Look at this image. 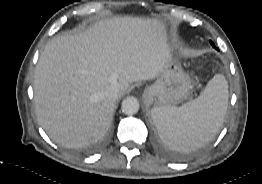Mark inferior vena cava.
Instances as JSON below:
<instances>
[{
	"label": "inferior vena cava",
	"mask_w": 262,
	"mask_h": 184,
	"mask_svg": "<svg viewBox=\"0 0 262 184\" xmlns=\"http://www.w3.org/2000/svg\"><path fill=\"white\" fill-rule=\"evenodd\" d=\"M120 95V89L117 85H111L107 91L106 96L110 99L116 100Z\"/></svg>",
	"instance_id": "obj_1"
}]
</instances>
